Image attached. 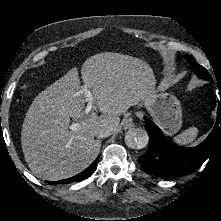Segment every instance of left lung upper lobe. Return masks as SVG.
<instances>
[{"mask_svg": "<svg viewBox=\"0 0 221 221\" xmlns=\"http://www.w3.org/2000/svg\"><path fill=\"white\" fill-rule=\"evenodd\" d=\"M185 58L187 59L190 67L198 77L204 78L209 81L211 80V77L206 69L199 65L192 56H185Z\"/></svg>", "mask_w": 221, "mask_h": 221, "instance_id": "left-lung-upper-lobe-1", "label": "left lung upper lobe"}]
</instances>
